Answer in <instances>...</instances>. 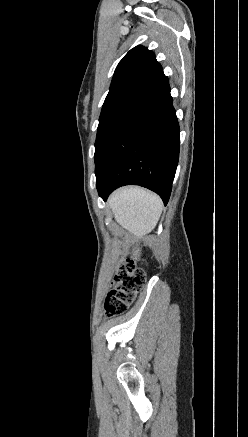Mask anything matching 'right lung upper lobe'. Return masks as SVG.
<instances>
[{
	"mask_svg": "<svg viewBox=\"0 0 248 437\" xmlns=\"http://www.w3.org/2000/svg\"><path fill=\"white\" fill-rule=\"evenodd\" d=\"M163 69L152 51L143 46L131 49L116 67L109 93L104 103L126 93L141 92Z\"/></svg>",
	"mask_w": 248,
	"mask_h": 437,
	"instance_id": "obj_1",
	"label": "right lung upper lobe"
}]
</instances>
